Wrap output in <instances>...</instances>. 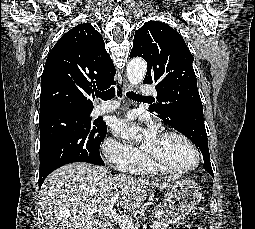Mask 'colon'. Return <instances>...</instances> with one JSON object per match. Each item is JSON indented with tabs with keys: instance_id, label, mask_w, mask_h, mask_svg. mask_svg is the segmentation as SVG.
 <instances>
[{
	"instance_id": "5ec220e1",
	"label": "colon",
	"mask_w": 255,
	"mask_h": 229,
	"mask_svg": "<svg viewBox=\"0 0 255 229\" xmlns=\"http://www.w3.org/2000/svg\"><path fill=\"white\" fill-rule=\"evenodd\" d=\"M179 229H188V227L185 225H182Z\"/></svg>"
}]
</instances>
